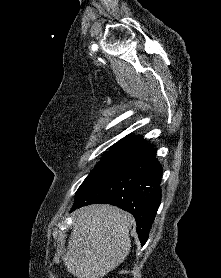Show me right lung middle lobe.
<instances>
[{"instance_id": "dd1d6c3e", "label": "right lung middle lobe", "mask_w": 221, "mask_h": 278, "mask_svg": "<svg viewBox=\"0 0 221 278\" xmlns=\"http://www.w3.org/2000/svg\"><path fill=\"white\" fill-rule=\"evenodd\" d=\"M136 156V150L130 146L115 144L112 149L106 152L95 168L79 187L75 197V203L83 197L99 182L111 175L122 166L129 164Z\"/></svg>"}]
</instances>
